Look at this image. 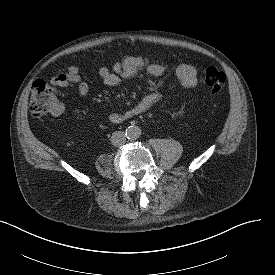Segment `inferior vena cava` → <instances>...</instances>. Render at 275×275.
Segmentation results:
<instances>
[{
	"instance_id": "inferior-vena-cava-1",
	"label": "inferior vena cava",
	"mask_w": 275,
	"mask_h": 275,
	"mask_svg": "<svg viewBox=\"0 0 275 275\" xmlns=\"http://www.w3.org/2000/svg\"><path fill=\"white\" fill-rule=\"evenodd\" d=\"M126 142V135L124 132L116 131L112 134L111 143L114 146H121Z\"/></svg>"
}]
</instances>
